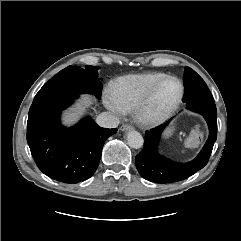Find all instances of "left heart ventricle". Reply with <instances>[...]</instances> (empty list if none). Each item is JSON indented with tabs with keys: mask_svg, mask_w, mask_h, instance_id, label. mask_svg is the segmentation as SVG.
I'll list each match as a JSON object with an SVG mask.
<instances>
[{
	"mask_svg": "<svg viewBox=\"0 0 241 241\" xmlns=\"http://www.w3.org/2000/svg\"><path fill=\"white\" fill-rule=\"evenodd\" d=\"M179 94V84L175 80L165 81L156 91L154 98L149 106V113L156 114L171 103H173Z\"/></svg>",
	"mask_w": 241,
	"mask_h": 241,
	"instance_id": "obj_1",
	"label": "left heart ventricle"
}]
</instances>
